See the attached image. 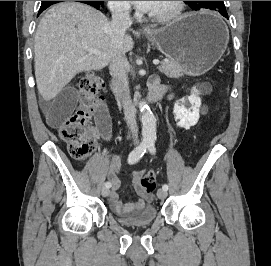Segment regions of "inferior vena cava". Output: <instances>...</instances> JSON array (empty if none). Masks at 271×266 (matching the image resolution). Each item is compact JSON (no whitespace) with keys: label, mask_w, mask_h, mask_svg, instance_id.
<instances>
[{"label":"inferior vena cava","mask_w":271,"mask_h":266,"mask_svg":"<svg viewBox=\"0 0 271 266\" xmlns=\"http://www.w3.org/2000/svg\"><path fill=\"white\" fill-rule=\"evenodd\" d=\"M112 22L109 26V35L115 55L109 66L111 76L118 79L122 88V106L125 120L129 126L135 140L138 138V129L136 124V108L132 102L126 71L123 63V37L126 30L132 25L130 18V5L128 3H119L111 7Z\"/></svg>","instance_id":"obj_1"}]
</instances>
